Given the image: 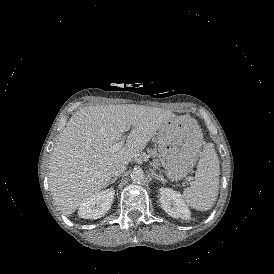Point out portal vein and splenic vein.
Masks as SVG:
<instances>
[{"label":"portal vein and splenic vein","mask_w":274,"mask_h":274,"mask_svg":"<svg viewBox=\"0 0 274 274\" xmlns=\"http://www.w3.org/2000/svg\"><path fill=\"white\" fill-rule=\"evenodd\" d=\"M132 128L131 124H126L122 127L123 134L121 139L113 146V150H118L125 146L126 139H127V131H129Z\"/></svg>","instance_id":"18ae733b"}]
</instances>
